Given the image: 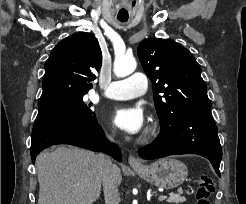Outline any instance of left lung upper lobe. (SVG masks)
Returning <instances> with one entry per match:
<instances>
[{
  "label": "left lung upper lobe",
  "mask_w": 246,
  "mask_h": 204,
  "mask_svg": "<svg viewBox=\"0 0 246 204\" xmlns=\"http://www.w3.org/2000/svg\"><path fill=\"white\" fill-rule=\"evenodd\" d=\"M153 82V98L161 126L175 117L211 111L201 67L182 45L167 39H145L137 49Z\"/></svg>",
  "instance_id": "1"
}]
</instances>
